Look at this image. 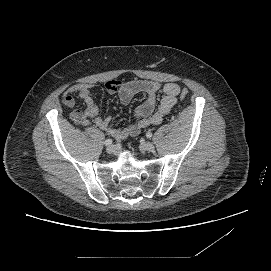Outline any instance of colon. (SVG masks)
I'll list each match as a JSON object with an SVG mask.
<instances>
[{
  "instance_id": "1",
  "label": "colon",
  "mask_w": 271,
  "mask_h": 271,
  "mask_svg": "<svg viewBox=\"0 0 271 271\" xmlns=\"http://www.w3.org/2000/svg\"><path fill=\"white\" fill-rule=\"evenodd\" d=\"M188 95H189V91L187 90V89H182L181 91H180V94H179V98L181 99V100H183V99H186L187 97H188Z\"/></svg>"
}]
</instances>
